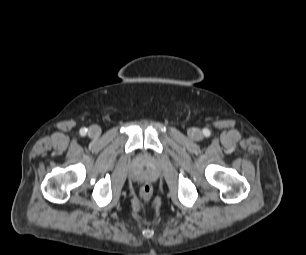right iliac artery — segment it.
I'll list each match as a JSON object with an SVG mask.
<instances>
[{"label": "right iliac artery", "instance_id": "right-iliac-artery-1", "mask_svg": "<svg viewBox=\"0 0 306 255\" xmlns=\"http://www.w3.org/2000/svg\"><path fill=\"white\" fill-rule=\"evenodd\" d=\"M86 132H87V129H85V128H82V129L80 130V134H81L82 136L86 135Z\"/></svg>", "mask_w": 306, "mask_h": 255}]
</instances>
